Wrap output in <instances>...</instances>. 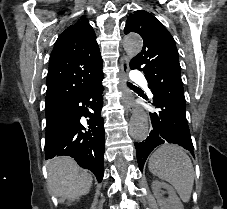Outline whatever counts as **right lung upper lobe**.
Segmentation results:
<instances>
[{"instance_id":"obj_1","label":"right lung upper lobe","mask_w":227,"mask_h":209,"mask_svg":"<svg viewBox=\"0 0 227 209\" xmlns=\"http://www.w3.org/2000/svg\"><path fill=\"white\" fill-rule=\"evenodd\" d=\"M103 75L96 35L87 19L69 26L55 42L49 59L45 108L56 107Z\"/></svg>"}]
</instances>
